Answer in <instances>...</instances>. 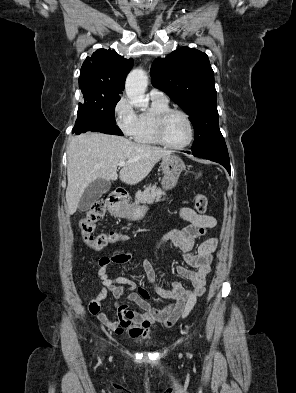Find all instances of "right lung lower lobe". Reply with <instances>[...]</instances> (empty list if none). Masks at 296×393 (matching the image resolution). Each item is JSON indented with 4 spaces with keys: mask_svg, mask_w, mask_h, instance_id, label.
<instances>
[{
    "mask_svg": "<svg viewBox=\"0 0 296 393\" xmlns=\"http://www.w3.org/2000/svg\"><path fill=\"white\" fill-rule=\"evenodd\" d=\"M87 131L102 132L105 134L123 135L122 131L116 125L104 123L102 121L86 118L83 120L77 119L75 122L72 133L80 134Z\"/></svg>",
    "mask_w": 296,
    "mask_h": 393,
    "instance_id": "1",
    "label": "right lung lower lobe"
}]
</instances>
